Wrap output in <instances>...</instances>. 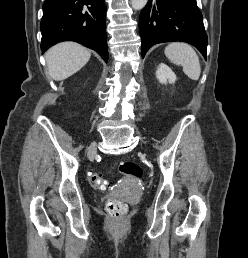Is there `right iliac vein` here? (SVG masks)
Instances as JSON below:
<instances>
[{"label": "right iliac vein", "mask_w": 248, "mask_h": 258, "mask_svg": "<svg viewBox=\"0 0 248 258\" xmlns=\"http://www.w3.org/2000/svg\"><path fill=\"white\" fill-rule=\"evenodd\" d=\"M96 142H92L88 148L87 156L89 160H92L96 154Z\"/></svg>", "instance_id": "right-iliac-vein-1"}]
</instances>
